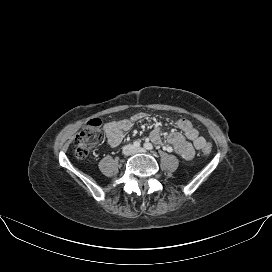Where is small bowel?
Instances as JSON below:
<instances>
[{
	"label": "small bowel",
	"instance_id": "c3829d8e",
	"mask_svg": "<svg viewBox=\"0 0 272 272\" xmlns=\"http://www.w3.org/2000/svg\"><path fill=\"white\" fill-rule=\"evenodd\" d=\"M145 115L135 114L129 118L108 122L104 126L108 144L117 146L124 138L125 133L130 130L133 124ZM178 131L170 132L166 135L168 143L167 150L176 152L185 160L193 158L195 149L200 150L206 145V139L199 134L195 126L187 119H180L177 122ZM150 138L159 144L162 141V133L158 128L152 130Z\"/></svg>",
	"mask_w": 272,
	"mask_h": 272
}]
</instances>
